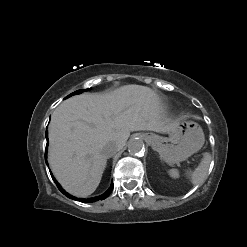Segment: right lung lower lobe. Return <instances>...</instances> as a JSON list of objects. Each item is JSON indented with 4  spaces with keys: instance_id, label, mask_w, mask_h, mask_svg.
I'll use <instances>...</instances> for the list:
<instances>
[{
    "instance_id": "obj_1",
    "label": "right lung lower lobe",
    "mask_w": 247,
    "mask_h": 247,
    "mask_svg": "<svg viewBox=\"0 0 247 247\" xmlns=\"http://www.w3.org/2000/svg\"><path fill=\"white\" fill-rule=\"evenodd\" d=\"M46 139L48 140V137H47V132H46ZM45 160H46V157H45ZM51 174V172H50ZM52 176V179L54 180V182L56 183L57 187L59 188V190L65 194L67 197L69 198H72L73 200H77V201H80V202H84V203H91V202H95L97 200H103L105 198H107L110 193L112 192V189H113V184L110 186V188L106 191L105 194H103L102 196H98V197H95V198H88V199H84V198H76V197H73V196H70L67 192H65L64 189H62V187L60 186V184L55 180V178L53 177V175L51 174Z\"/></svg>"
}]
</instances>
